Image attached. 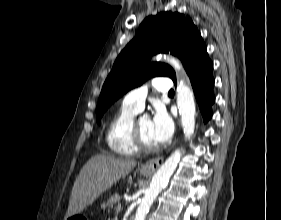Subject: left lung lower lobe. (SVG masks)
Listing matches in <instances>:
<instances>
[{
	"mask_svg": "<svg viewBox=\"0 0 281 220\" xmlns=\"http://www.w3.org/2000/svg\"><path fill=\"white\" fill-rule=\"evenodd\" d=\"M190 78L195 97L199 104L204 122L212 117V105L215 102L213 93L214 78L213 63L208 57L207 52L194 58L186 67ZM176 83V81H174Z\"/></svg>",
	"mask_w": 281,
	"mask_h": 220,
	"instance_id": "left-lung-lower-lobe-1",
	"label": "left lung lower lobe"
}]
</instances>
